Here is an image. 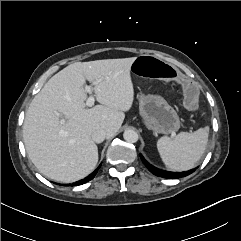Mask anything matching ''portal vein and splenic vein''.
<instances>
[{
	"label": "portal vein and splenic vein",
	"mask_w": 241,
	"mask_h": 241,
	"mask_svg": "<svg viewBox=\"0 0 241 241\" xmlns=\"http://www.w3.org/2000/svg\"><path fill=\"white\" fill-rule=\"evenodd\" d=\"M98 82L99 81L93 82L90 86L85 87V92L89 94V97L87 98V101H86V106L88 107H91L92 105H94L95 97L92 94V86L96 85Z\"/></svg>",
	"instance_id": "portal-vein-and-splenic-vein-1"
}]
</instances>
